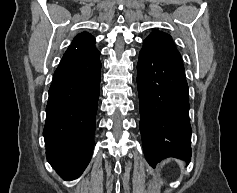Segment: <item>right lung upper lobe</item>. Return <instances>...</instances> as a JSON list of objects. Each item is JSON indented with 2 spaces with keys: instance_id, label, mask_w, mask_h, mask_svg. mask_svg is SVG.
I'll return each instance as SVG.
<instances>
[{
  "instance_id": "1",
  "label": "right lung upper lobe",
  "mask_w": 237,
  "mask_h": 193,
  "mask_svg": "<svg viewBox=\"0 0 237 193\" xmlns=\"http://www.w3.org/2000/svg\"><path fill=\"white\" fill-rule=\"evenodd\" d=\"M67 51L97 52L98 50L95 48V38L87 32H82L74 38Z\"/></svg>"
}]
</instances>
